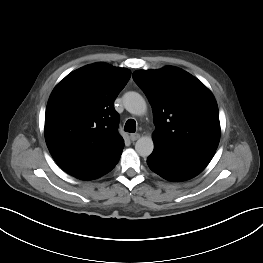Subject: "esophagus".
I'll use <instances>...</instances> for the list:
<instances>
[{
    "mask_svg": "<svg viewBox=\"0 0 263 263\" xmlns=\"http://www.w3.org/2000/svg\"><path fill=\"white\" fill-rule=\"evenodd\" d=\"M139 138H140V134H138V133H133L130 135L131 141H136Z\"/></svg>",
    "mask_w": 263,
    "mask_h": 263,
    "instance_id": "34e87169",
    "label": "esophagus"
}]
</instances>
